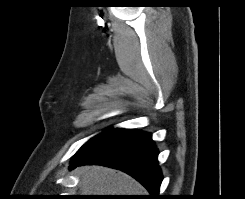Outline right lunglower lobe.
I'll list each match as a JSON object with an SVG mask.
<instances>
[{
	"mask_svg": "<svg viewBox=\"0 0 245 199\" xmlns=\"http://www.w3.org/2000/svg\"><path fill=\"white\" fill-rule=\"evenodd\" d=\"M158 150L148 132L114 129L100 140L78 151L69 169L98 164L119 169L140 182L150 193L147 199H160L162 173L158 166Z\"/></svg>",
	"mask_w": 245,
	"mask_h": 199,
	"instance_id": "98d812e1",
	"label": "right lung lower lobe"
}]
</instances>
